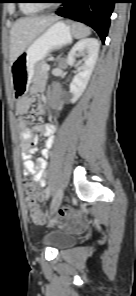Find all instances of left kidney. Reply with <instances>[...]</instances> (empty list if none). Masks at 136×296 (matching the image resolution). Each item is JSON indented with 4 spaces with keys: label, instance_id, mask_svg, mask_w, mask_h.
<instances>
[{
    "label": "left kidney",
    "instance_id": "obj_1",
    "mask_svg": "<svg viewBox=\"0 0 136 296\" xmlns=\"http://www.w3.org/2000/svg\"><path fill=\"white\" fill-rule=\"evenodd\" d=\"M100 44L95 38L78 41L67 56V64L73 66L79 53H85L84 63L77 68V74L70 83L71 102L75 103L84 92L96 64Z\"/></svg>",
    "mask_w": 136,
    "mask_h": 296
}]
</instances>
